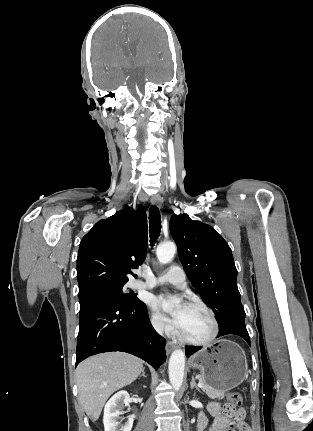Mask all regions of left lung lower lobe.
<instances>
[{
    "label": "left lung lower lobe",
    "instance_id": "left-lung-lower-lobe-1",
    "mask_svg": "<svg viewBox=\"0 0 313 431\" xmlns=\"http://www.w3.org/2000/svg\"><path fill=\"white\" fill-rule=\"evenodd\" d=\"M230 334L242 337L250 345V338H249V334L247 332L244 320H234L222 327H219L218 337L224 336V335H230ZM199 349L200 347L187 346L186 357L191 356Z\"/></svg>",
    "mask_w": 313,
    "mask_h": 431
}]
</instances>
